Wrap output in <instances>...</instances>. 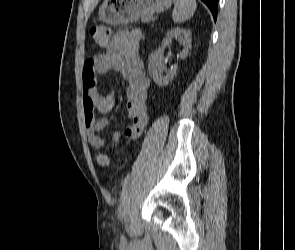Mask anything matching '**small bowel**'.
Here are the masks:
<instances>
[{
  "mask_svg": "<svg viewBox=\"0 0 295 250\" xmlns=\"http://www.w3.org/2000/svg\"><path fill=\"white\" fill-rule=\"evenodd\" d=\"M140 30L118 31L106 45L105 51L84 63L83 108L88 143L96 149L105 146L106 140L100 132L108 125L107 113L115 106V96L111 93L102 95L97 90V77L110 69L117 71L126 80V111L130 118L123 135L129 139L140 136L148 122V89L150 80L139 57ZM120 132H115L112 142L120 139Z\"/></svg>",
  "mask_w": 295,
  "mask_h": 250,
  "instance_id": "small-bowel-1",
  "label": "small bowel"
}]
</instances>
